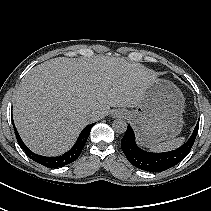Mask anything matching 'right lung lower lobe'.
<instances>
[{
    "label": "right lung lower lobe",
    "mask_w": 211,
    "mask_h": 211,
    "mask_svg": "<svg viewBox=\"0 0 211 211\" xmlns=\"http://www.w3.org/2000/svg\"><path fill=\"white\" fill-rule=\"evenodd\" d=\"M12 123H13V127L15 130V134H16V138L17 141L19 143V145L21 146V148L24 150V152L26 153V155L31 158L33 161L44 165L46 167L49 168H59V167H63L67 164L72 163L73 161H75L81 154L82 149L85 146L86 140L90 134V130L93 126V124H90L88 126H86L82 132L80 133L76 143L74 144V146L67 151L66 153H64L61 156H57V157H46V156H41L38 154L33 153L22 141L21 137L19 136L16 127L14 126V122L12 119Z\"/></svg>",
    "instance_id": "obj_1"
}]
</instances>
